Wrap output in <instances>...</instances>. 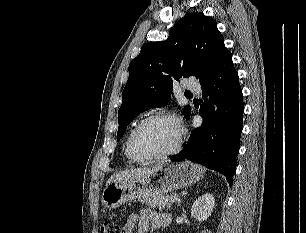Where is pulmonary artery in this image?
<instances>
[{
    "instance_id": "e3ab8cb5",
    "label": "pulmonary artery",
    "mask_w": 306,
    "mask_h": 233,
    "mask_svg": "<svg viewBox=\"0 0 306 233\" xmlns=\"http://www.w3.org/2000/svg\"><path fill=\"white\" fill-rule=\"evenodd\" d=\"M186 88L190 92L200 93L201 92V86L197 83L196 80L190 79L186 82Z\"/></svg>"
}]
</instances>
